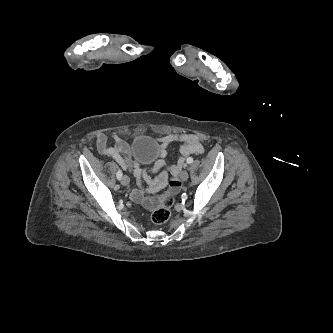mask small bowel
<instances>
[{
    "instance_id": "1",
    "label": "small bowel",
    "mask_w": 333,
    "mask_h": 333,
    "mask_svg": "<svg viewBox=\"0 0 333 333\" xmlns=\"http://www.w3.org/2000/svg\"><path fill=\"white\" fill-rule=\"evenodd\" d=\"M108 136L105 133L97 135L96 144L97 149L101 155L111 157L114 159L123 170L130 171L137 180V187L133 188L130 196L137 203H143L147 206H151L154 203V199L146 195L141 188L142 181H146L149 184H157L164 186L167 183L176 189L179 187L178 177L181 171L186 166V159L191 155L202 154L204 147L200 142L197 135L192 133H182L179 135H164L159 138L160 152L159 159L155 162L152 171H158L163 169L160 178L157 181H153L149 174H147L140 166V161L135 157H132L130 153V147L126 141L117 135L112 136L114 141L113 145H109ZM179 142L180 157L175 164H168L165 160L168 147ZM172 176V180L168 182V176Z\"/></svg>"
}]
</instances>
